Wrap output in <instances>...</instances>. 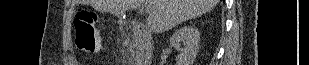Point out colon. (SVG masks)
Listing matches in <instances>:
<instances>
[{
  "label": "colon",
  "instance_id": "colon-1",
  "mask_svg": "<svg viewBox=\"0 0 309 65\" xmlns=\"http://www.w3.org/2000/svg\"><path fill=\"white\" fill-rule=\"evenodd\" d=\"M98 17L86 11L77 13L74 19L76 30V45L85 53H94L102 47L101 39L97 30Z\"/></svg>",
  "mask_w": 309,
  "mask_h": 65
}]
</instances>
